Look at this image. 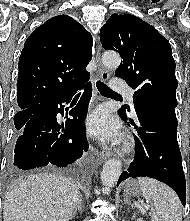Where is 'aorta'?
I'll list each match as a JSON object with an SVG mask.
<instances>
[{
    "mask_svg": "<svg viewBox=\"0 0 190 221\" xmlns=\"http://www.w3.org/2000/svg\"><path fill=\"white\" fill-rule=\"evenodd\" d=\"M121 62V58L116 53H105L102 56V63L108 69H116ZM122 171V162L117 159L108 160L101 172V181L103 185L113 187L117 182Z\"/></svg>",
    "mask_w": 190,
    "mask_h": 221,
    "instance_id": "1",
    "label": "aorta"
}]
</instances>
